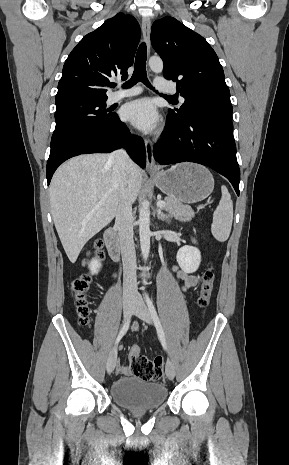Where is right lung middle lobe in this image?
Masks as SVG:
<instances>
[{
	"instance_id": "right-lung-middle-lobe-1",
	"label": "right lung middle lobe",
	"mask_w": 289,
	"mask_h": 465,
	"mask_svg": "<svg viewBox=\"0 0 289 465\" xmlns=\"http://www.w3.org/2000/svg\"><path fill=\"white\" fill-rule=\"evenodd\" d=\"M106 100L85 99L56 104V127L51 146L76 132L110 123L115 114L107 113Z\"/></svg>"
}]
</instances>
